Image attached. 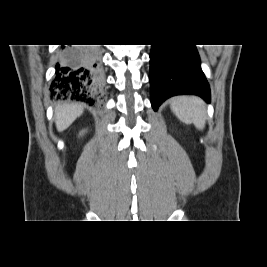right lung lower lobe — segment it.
Here are the masks:
<instances>
[{
	"label": "right lung lower lobe",
	"instance_id": "obj_1",
	"mask_svg": "<svg viewBox=\"0 0 267 267\" xmlns=\"http://www.w3.org/2000/svg\"><path fill=\"white\" fill-rule=\"evenodd\" d=\"M98 65L99 52L95 47L62 46L61 61L56 64L50 86L51 96L93 104L102 84Z\"/></svg>",
	"mask_w": 267,
	"mask_h": 267
}]
</instances>
